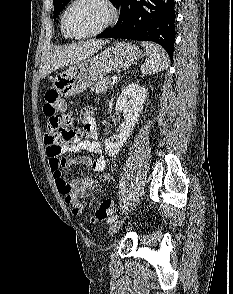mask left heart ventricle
<instances>
[{"label": "left heart ventricle", "mask_w": 233, "mask_h": 294, "mask_svg": "<svg viewBox=\"0 0 233 294\" xmlns=\"http://www.w3.org/2000/svg\"><path fill=\"white\" fill-rule=\"evenodd\" d=\"M107 18V10L96 0H82L75 4L66 18L71 34L83 35L100 27Z\"/></svg>", "instance_id": "left-heart-ventricle-1"}]
</instances>
